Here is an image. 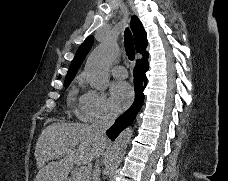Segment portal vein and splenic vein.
<instances>
[{"label":"portal vein and splenic vein","instance_id":"1","mask_svg":"<svg viewBox=\"0 0 228 181\" xmlns=\"http://www.w3.org/2000/svg\"><path fill=\"white\" fill-rule=\"evenodd\" d=\"M81 175H86V177H89L90 171H89L88 167H81L80 177H78V179H83V177H81ZM86 177H85V179H86Z\"/></svg>","mask_w":228,"mask_h":181}]
</instances>
